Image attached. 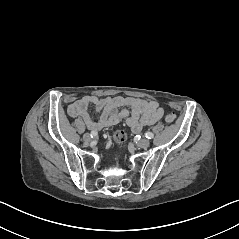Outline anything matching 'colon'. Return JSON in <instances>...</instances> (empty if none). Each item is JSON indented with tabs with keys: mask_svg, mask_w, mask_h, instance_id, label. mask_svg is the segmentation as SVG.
<instances>
[{
	"mask_svg": "<svg viewBox=\"0 0 239 239\" xmlns=\"http://www.w3.org/2000/svg\"><path fill=\"white\" fill-rule=\"evenodd\" d=\"M176 116L174 113H169L165 116V122L166 123H172L174 122ZM114 139L118 142V143H123L126 139V134L123 131H117L114 134Z\"/></svg>",
	"mask_w": 239,
	"mask_h": 239,
	"instance_id": "colon-1",
	"label": "colon"
}]
</instances>
